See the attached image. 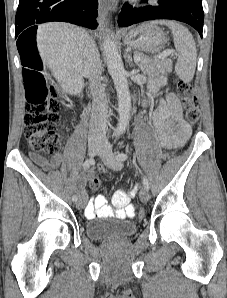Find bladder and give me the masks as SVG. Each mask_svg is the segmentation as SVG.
<instances>
[{
	"instance_id": "31cf9c89",
	"label": "bladder",
	"mask_w": 227,
	"mask_h": 298,
	"mask_svg": "<svg viewBox=\"0 0 227 298\" xmlns=\"http://www.w3.org/2000/svg\"><path fill=\"white\" fill-rule=\"evenodd\" d=\"M136 231V223L126 219H93L85 225V234L93 241L125 239L133 236Z\"/></svg>"
}]
</instances>
